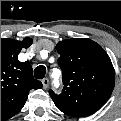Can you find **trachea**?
Here are the masks:
<instances>
[{
	"mask_svg": "<svg viewBox=\"0 0 121 121\" xmlns=\"http://www.w3.org/2000/svg\"><path fill=\"white\" fill-rule=\"evenodd\" d=\"M46 74V68L43 65L37 66L34 70V76L36 79H43Z\"/></svg>",
	"mask_w": 121,
	"mask_h": 121,
	"instance_id": "3493384b",
	"label": "trachea"
}]
</instances>
